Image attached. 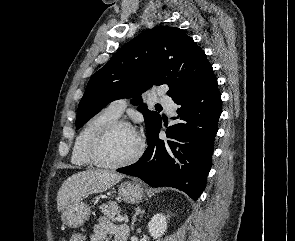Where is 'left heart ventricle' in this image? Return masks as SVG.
<instances>
[{
	"label": "left heart ventricle",
	"instance_id": "b2bd125f",
	"mask_svg": "<svg viewBox=\"0 0 295 241\" xmlns=\"http://www.w3.org/2000/svg\"><path fill=\"white\" fill-rule=\"evenodd\" d=\"M138 149L136 134L127 128L114 130L102 146L103 157L111 162H120L130 158Z\"/></svg>",
	"mask_w": 295,
	"mask_h": 241
}]
</instances>
